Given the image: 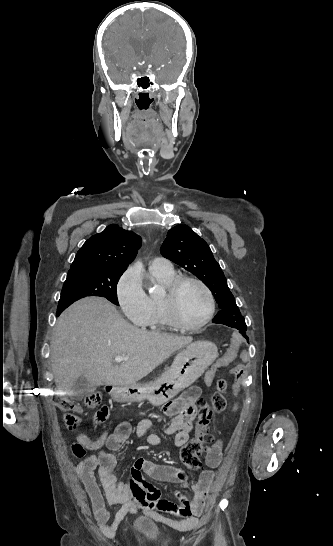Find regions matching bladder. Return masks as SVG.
I'll return each mask as SVG.
<instances>
[{
    "instance_id": "obj_1",
    "label": "bladder",
    "mask_w": 333,
    "mask_h": 546,
    "mask_svg": "<svg viewBox=\"0 0 333 546\" xmlns=\"http://www.w3.org/2000/svg\"><path fill=\"white\" fill-rule=\"evenodd\" d=\"M133 534L137 539L153 542L161 540V532L157 523L149 517H140L134 522Z\"/></svg>"
}]
</instances>
